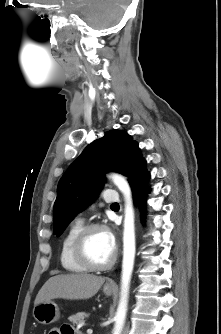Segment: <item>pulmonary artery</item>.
I'll return each mask as SVG.
<instances>
[{
    "label": "pulmonary artery",
    "mask_w": 221,
    "mask_h": 334,
    "mask_svg": "<svg viewBox=\"0 0 221 334\" xmlns=\"http://www.w3.org/2000/svg\"><path fill=\"white\" fill-rule=\"evenodd\" d=\"M115 191L112 189H106L104 193V200L106 202H114L118 200V197L114 193Z\"/></svg>",
    "instance_id": "obj_1"
}]
</instances>
